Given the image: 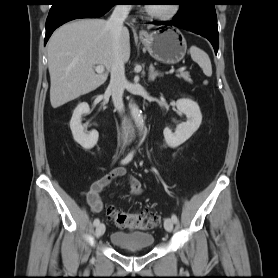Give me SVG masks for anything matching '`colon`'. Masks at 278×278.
<instances>
[{
  "mask_svg": "<svg viewBox=\"0 0 278 278\" xmlns=\"http://www.w3.org/2000/svg\"><path fill=\"white\" fill-rule=\"evenodd\" d=\"M106 211L108 217L113 219L118 227L124 229L147 230L157 227L160 222L157 215L148 212L131 213L113 205L108 206Z\"/></svg>",
  "mask_w": 278,
  "mask_h": 278,
  "instance_id": "colon-1",
  "label": "colon"
}]
</instances>
